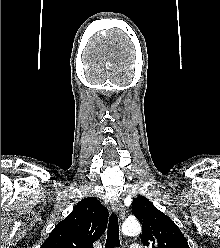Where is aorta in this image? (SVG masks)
<instances>
[{
	"instance_id": "aorta-1",
	"label": "aorta",
	"mask_w": 220,
	"mask_h": 248,
	"mask_svg": "<svg viewBox=\"0 0 220 248\" xmlns=\"http://www.w3.org/2000/svg\"><path fill=\"white\" fill-rule=\"evenodd\" d=\"M122 232L127 236H136L141 232V226L136 219H127L122 225Z\"/></svg>"
}]
</instances>
